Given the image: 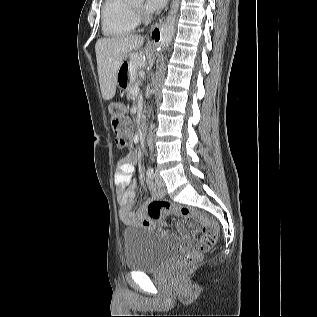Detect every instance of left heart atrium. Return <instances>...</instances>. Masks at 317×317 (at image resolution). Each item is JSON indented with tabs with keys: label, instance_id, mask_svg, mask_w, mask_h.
<instances>
[{
	"label": "left heart atrium",
	"instance_id": "39dd6f15",
	"mask_svg": "<svg viewBox=\"0 0 317 317\" xmlns=\"http://www.w3.org/2000/svg\"><path fill=\"white\" fill-rule=\"evenodd\" d=\"M166 1L167 0H146L145 9L148 12H156L165 5Z\"/></svg>",
	"mask_w": 317,
	"mask_h": 317
}]
</instances>
